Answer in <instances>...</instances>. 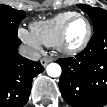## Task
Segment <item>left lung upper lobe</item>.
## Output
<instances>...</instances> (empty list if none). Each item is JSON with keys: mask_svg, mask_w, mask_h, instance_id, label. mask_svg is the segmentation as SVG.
<instances>
[{"mask_svg": "<svg viewBox=\"0 0 107 107\" xmlns=\"http://www.w3.org/2000/svg\"><path fill=\"white\" fill-rule=\"evenodd\" d=\"M78 7L85 11L92 20L94 31L107 25V11L101 8L91 7L89 5L78 4Z\"/></svg>", "mask_w": 107, "mask_h": 107, "instance_id": "left-lung-upper-lobe-1", "label": "left lung upper lobe"}]
</instances>
